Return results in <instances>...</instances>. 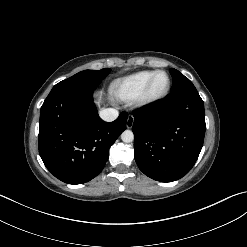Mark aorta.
<instances>
[{"label": "aorta", "instance_id": "aorta-1", "mask_svg": "<svg viewBox=\"0 0 247 247\" xmlns=\"http://www.w3.org/2000/svg\"><path fill=\"white\" fill-rule=\"evenodd\" d=\"M121 139L123 142L125 143H130L134 140V134L131 130H125L122 134H121Z\"/></svg>", "mask_w": 247, "mask_h": 247}]
</instances>
